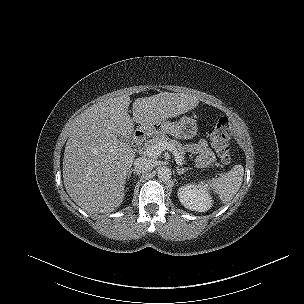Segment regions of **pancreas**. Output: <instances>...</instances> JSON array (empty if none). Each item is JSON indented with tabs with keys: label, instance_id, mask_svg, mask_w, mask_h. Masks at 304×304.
I'll list each match as a JSON object with an SVG mask.
<instances>
[{
	"label": "pancreas",
	"instance_id": "cf45deb5",
	"mask_svg": "<svg viewBox=\"0 0 304 304\" xmlns=\"http://www.w3.org/2000/svg\"><path fill=\"white\" fill-rule=\"evenodd\" d=\"M159 142H164L166 143L171 149L173 153H177L179 155L180 161L185 162V151L184 147L182 146L181 143L177 142L176 140L170 139L167 135L162 134L153 137L151 140L148 141L147 145L154 146L155 144H158Z\"/></svg>",
	"mask_w": 304,
	"mask_h": 304
}]
</instances>
